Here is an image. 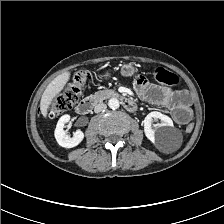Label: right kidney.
I'll return each mask as SVG.
<instances>
[{"instance_id": "obj_1", "label": "right kidney", "mask_w": 224, "mask_h": 224, "mask_svg": "<svg viewBox=\"0 0 224 224\" xmlns=\"http://www.w3.org/2000/svg\"><path fill=\"white\" fill-rule=\"evenodd\" d=\"M70 118L71 117L68 114L61 116L57 122L54 132L55 139L58 144L65 148H73L77 146L84 138V133L81 130H77L73 133L72 137H70L69 134H66L64 131V125L69 122Z\"/></svg>"}]
</instances>
